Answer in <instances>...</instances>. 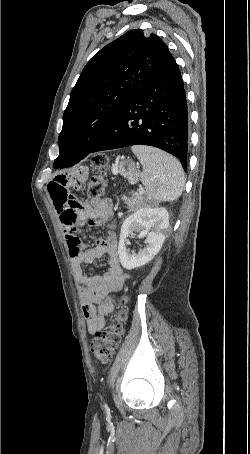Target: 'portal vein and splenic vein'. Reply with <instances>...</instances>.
Here are the masks:
<instances>
[{
	"label": "portal vein and splenic vein",
	"mask_w": 250,
	"mask_h": 454,
	"mask_svg": "<svg viewBox=\"0 0 250 454\" xmlns=\"http://www.w3.org/2000/svg\"><path fill=\"white\" fill-rule=\"evenodd\" d=\"M143 191H144V189H143V188H140V189H139V192H140V193H142Z\"/></svg>",
	"instance_id": "obj_1"
}]
</instances>
